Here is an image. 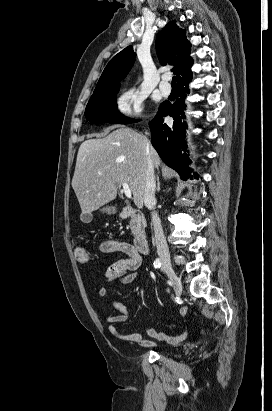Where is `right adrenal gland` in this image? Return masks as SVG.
Returning a JSON list of instances; mask_svg holds the SVG:
<instances>
[{"label":"right adrenal gland","mask_w":272,"mask_h":411,"mask_svg":"<svg viewBox=\"0 0 272 411\" xmlns=\"http://www.w3.org/2000/svg\"><path fill=\"white\" fill-rule=\"evenodd\" d=\"M157 191L160 192V181L159 176H157Z\"/></svg>","instance_id":"2a0ac1e0"}]
</instances>
